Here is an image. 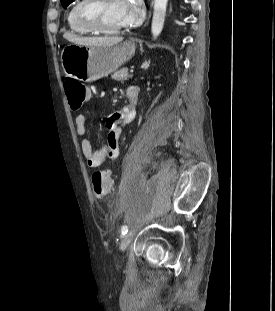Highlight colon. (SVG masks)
I'll return each instance as SVG.
<instances>
[{"label":"colon","instance_id":"5ec220e1","mask_svg":"<svg viewBox=\"0 0 275 311\" xmlns=\"http://www.w3.org/2000/svg\"><path fill=\"white\" fill-rule=\"evenodd\" d=\"M64 86L69 106L73 110L80 109L90 98L89 87L77 80L67 78ZM91 182L93 193L98 199L105 198L113 187L110 174L106 171L93 172Z\"/></svg>","mask_w":275,"mask_h":311}]
</instances>
